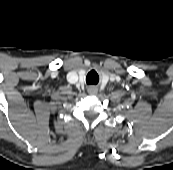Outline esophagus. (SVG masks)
Here are the masks:
<instances>
[{"label":"esophagus","mask_w":173,"mask_h":170,"mask_svg":"<svg viewBox=\"0 0 173 170\" xmlns=\"http://www.w3.org/2000/svg\"><path fill=\"white\" fill-rule=\"evenodd\" d=\"M97 92H98V89L96 87L91 86V87L88 88V93L90 95H96Z\"/></svg>","instance_id":"34e87169"}]
</instances>
